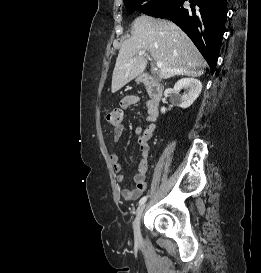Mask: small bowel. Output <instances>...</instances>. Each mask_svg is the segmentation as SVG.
<instances>
[{
  "label": "small bowel",
  "mask_w": 261,
  "mask_h": 273,
  "mask_svg": "<svg viewBox=\"0 0 261 273\" xmlns=\"http://www.w3.org/2000/svg\"><path fill=\"white\" fill-rule=\"evenodd\" d=\"M139 98L137 96H127L123 98L120 102L122 109H127L138 102ZM157 117V108L151 107V101L147 102V112L146 120L149 125L146 128L136 127L135 134L137 136V144L140 150V161L138 164L137 172L133 176V180L136 184L133 189L122 188V183L124 181V169L120 162V157L117 153H113L110 157L113 170L116 174V181L121 187V195L127 201L137 200L147 189L146 176L148 172V158H149V141L155 133V119ZM126 128L124 125L115 126L113 130V142L118 143L124 133Z\"/></svg>",
  "instance_id": "small-bowel-1"
}]
</instances>
